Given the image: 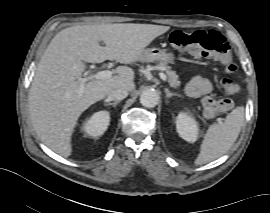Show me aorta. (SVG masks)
<instances>
[{
    "mask_svg": "<svg viewBox=\"0 0 270 213\" xmlns=\"http://www.w3.org/2000/svg\"><path fill=\"white\" fill-rule=\"evenodd\" d=\"M159 94L154 89L144 90L140 95V103L148 108L155 107L159 102Z\"/></svg>",
    "mask_w": 270,
    "mask_h": 213,
    "instance_id": "762f6f07",
    "label": "aorta"
}]
</instances>
